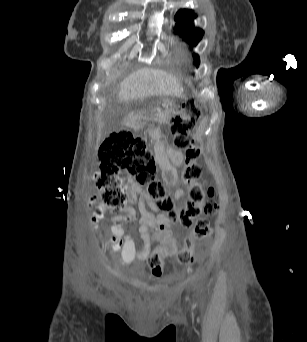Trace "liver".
<instances>
[{"label":"liver","mask_w":307,"mask_h":342,"mask_svg":"<svg viewBox=\"0 0 307 342\" xmlns=\"http://www.w3.org/2000/svg\"><path fill=\"white\" fill-rule=\"evenodd\" d=\"M183 92V86L173 74L155 68H140L122 80L117 98L121 102L144 100L149 96L181 98Z\"/></svg>","instance_id":"obj_1"}]
</instances>
